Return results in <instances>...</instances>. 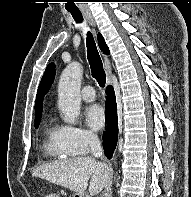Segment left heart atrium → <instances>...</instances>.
Masks as SVG:
<instances>
[{
	"label": "left heart atrium",
	"instance_id": "1",
	"mask_svg": "<svg viewBox=\"0 0 191 197\" xmlns=\"http://www.w3.org/2000/svg\"><path fill=\"white\" fill-rule=\"evenodd\" d=\"M87 125L94 131L100 130L105 123L104 110L99 105H91L85 111Z\"/></svg>",
	"mask_w": 191,
	"mask_h": 197
}]
</instances>
